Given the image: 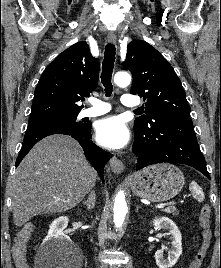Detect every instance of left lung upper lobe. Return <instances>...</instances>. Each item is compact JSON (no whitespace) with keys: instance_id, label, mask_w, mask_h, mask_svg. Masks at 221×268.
<instances>
[{"instance_id":"obj_1","label":"left lung upper lobe","mask_w":221,"mask_h":268,"mask_svg":"<svg viewBox=\"0 0 221 268\" xmlns=\"http://www.w3.org/2000/svg\"><path fill=\"white\" fill-rule=\"evenodd\" d=\"M123 68L130 70L133 75L131 94H138L145 101L146 115L135 119L134 129L145 127L153 115L190 116V107L180 79L153 46L143 40L130 42Z\"/></svg>"}]
</instances>
